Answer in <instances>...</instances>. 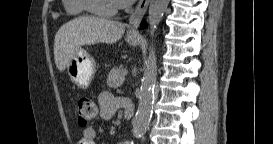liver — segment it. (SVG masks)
I'll return each instance as SVG.
<instances>
[{
	"mask_svg": "<svg viewBox=\"0 0 273 144\" xmlns=\"http://www.w3.org/2000/svg\"><path fill=\"white\" fill-rule=\"evenodd\" d=\"M125 24L99 17H78L60 27L54 39V59L64 71L83 45L115 43L123 36Z\"/></svg>",
	"mask_w": 273,
	"mask_h": 144,
	"instance_id": "1",
	"label": "liver"
}]
</instances>
